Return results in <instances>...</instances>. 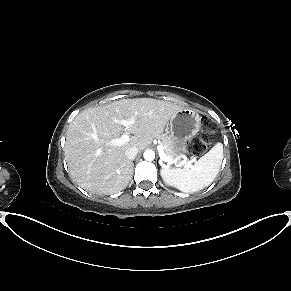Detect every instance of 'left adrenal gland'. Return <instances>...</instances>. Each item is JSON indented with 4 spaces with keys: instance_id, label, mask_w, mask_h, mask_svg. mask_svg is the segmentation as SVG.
<instances>
[{
    "instance_id": "a2214340",
    "label": "left adrenal gland",
    "mask_w": 291,
    "mask_h": 291,
    "mask_svg": "<svg viewBox=\"0 0 291 291\" xmlns=\"http://www.w3.org/2000/svg\"><path fill=\"white\" fill-rule=\"evenodd\" d=\"M159 163H160V165H161V166H164V164H163L162 160H160V162H159Z\"/></svg>"
}]
</instances>
